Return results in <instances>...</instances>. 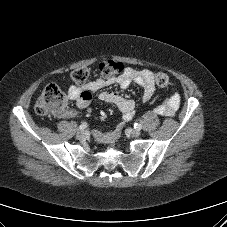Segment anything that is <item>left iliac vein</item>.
Masks as SVG:
<instances>
[{"mask_svg": "<svg viewBox=\"0 0 227 227\" xmlns=\"http://www.w3.org/2000/svg\"><path fill=\"white\" fill-rule=\"evenodd\" d=\"M127 131L133 137H139L141 135V132L138 129H128Z\"/></svg>", "mask_w": 227, "mask_h": 227, "instance_id": "1", "label": "left iliac vein"}]
</instances>
